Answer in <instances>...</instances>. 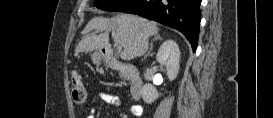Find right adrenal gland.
Instances as JSON below:
<instances>
[{
	"label": "right adrenal gland",
	"mask_w": 273,
	"mask_h": 118,
	"mask_svg": "<svg viewBox=\"0 0 273 118\" xmlns=\"http://www.w3.org/2000/svg\"><path fill=\"white\" fill-rule=\"evenodd\" d=\"M157 40H162V37H161L160 35H155V36H154L153 41H151V44H150V49H149L148 54H150V52L152 51V48H153V42H154V41H157Z\"/></svg>",
	"instance_id": "2a0ac1e0"
}]
</instances>
